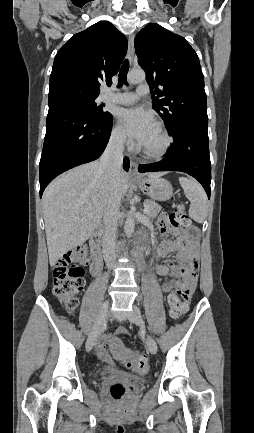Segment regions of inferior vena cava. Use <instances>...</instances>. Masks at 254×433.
<instances>
[{"label":"inferior vena cava","instance_id":"602c4592","mask_svg":"<svg viewBox=\"0 0 254 433\" xmlns=\"http://www.w3.org/2000/svg\"><path fill=\"white\" fill-rule=\"evenodd\" d=\"M124 140L125 136L122 134L112 136L100 158V168L107 171L108 177L113 184V194L103 216L102 247L103 257L108 268H111L116 260L115 240L121 201L117 181L123 164Z\"/></svg>","mask_w":254,"mask_h":433}]
</instances>
